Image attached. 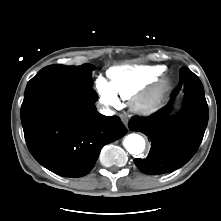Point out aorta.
Returning <instances> with one entry per match:
<instances>
[{"label":"aorta","mask_w":221,"mask_h":221,"mask_svg":"<svg viewBox=\"0 0 221 221\" xmlns=\"http://www.w3.org/2000/svg\"><path fill=\"white\" fill-rule=\"evenodd\" d=\"M123 145L130 154L139 155L145 149V140L142 136L132 133L124 139Z\"/></svg>","instance_id":"aorta-1"}]
</instances>
